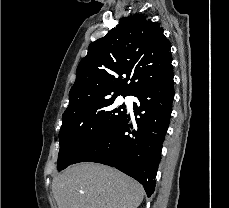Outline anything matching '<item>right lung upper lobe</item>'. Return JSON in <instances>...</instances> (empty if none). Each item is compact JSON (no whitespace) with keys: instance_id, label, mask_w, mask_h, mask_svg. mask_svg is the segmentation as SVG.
I'll return each mask as SVG.
<instances>
[{"instance_id":"cb5924a9","label":"right lung upper lobe","mask_w":229,"mask_h":208,"mask_svg":"<svg viewBox=\"0 0 229 208\" xmlns=\"http://www.w3.org/2000/svg\"><path fill=\"white\" fill-rule=\"evenodd\" d=\"M163 31L146 16L133 15L92 42L77 67L63 118L100 100L134 95L169 74L171 44Z\"/></svg>"}]
</instances>
